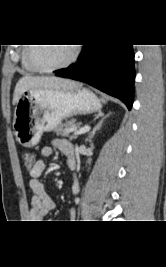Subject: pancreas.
Listing matches in <instances>:
<instances>
[{
	"mask_svg": "<svg viewBox=\"0 0 166 267\" xmlns=\"http://www.w3.org/2000/svg\"><path fill=\"white\" fill-rule=\"evenodd\" d=\"M80 124L81 123H76L75 120L67 121L63 124H60L55 129V133L57 136L69 137L71 130L78 127Z\"/></svg>",
	"mask_w": 166,
	"mask_h": 267,
	"instance_id": "obj_1",
	"label": "pancreas"
}]
</instances>
